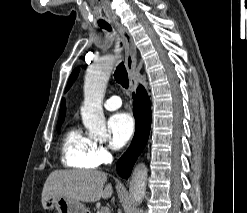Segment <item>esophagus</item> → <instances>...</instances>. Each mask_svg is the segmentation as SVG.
Returning a JSON list of instances; mask_svg holds the SVG:
<instances>
[{
    "mask_svg": "<svg viewBox=\"0 0 247 213\" xmlns=\"http://www.w3.org/2000/svg\"><path fill=\"white\" fill-rule=\"evenodd\" d=\"M115 27L121 35L125 50V66L129 75L131 89L136 91L138 83L135 78L136 70V47L128 30L116 22Z\"/></svg>",
    "mask_w": 247,
    "mask_h": 213,
    "instance_id": "34e87169",
    "label": "esophagus"
}]
</instances>
